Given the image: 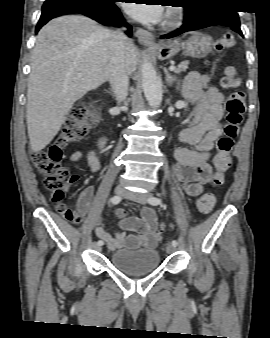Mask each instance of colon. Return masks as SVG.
Segmentation results:
<instances>
[{"mask_svg": "<svg viewBox=\"0 0 270 338\" xmlns=\"http://www.w3.org/2000/svg\"><path fill=\"white\" fill-rule=\"evenodd\" d=\"M235 39L233 34L225 33L214 41L216 51H224L233 48ZM222 86L228 91L225 102V124L223 134L216 142V153L212 163L215 168L214 184H222L225 173L232 165V150L235 139L244 119V96L237 88L240 84L238 68L230 65L226 68L221 81ZM94 121V116L86 106H78L73 109L70 117L63 124L53 143L44 150L31 153L34 167L42 175L46 189L51 192V200L57 210L68 221H75V211L63 205L65 194L78 180V176L70 169L62 165L63 150L75 142L86 137L88 126ZM215 196L206 193L196 200V209L202 214H210L215 205ZM130 229H137L139 224L131 222L127 224ZM164 226H162L163 228Z\"/></svg>", "mask_w": 270, "mask_h": 338, "instance_id": "obj_1", "label": "colon"}]
</instances>
